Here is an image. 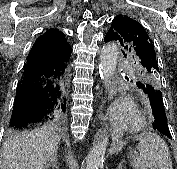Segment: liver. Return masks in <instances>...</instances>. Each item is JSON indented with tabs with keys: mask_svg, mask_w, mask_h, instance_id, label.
I'll use <instances>...</instances> for the list:
<instances>
[{
	"mask_svg": "<svg viewBox=\"0 0 177 169\" xmlns=\"http://www.w3.org/2000/svg\"><path fill=\"white\" fill-rule=\"evenodd\" d=\"M61 136L48 127L12 135L2 146L0 169H46Z\"/></svg>",
	"mask_w": 177,
	"mask_h": 169,
	"instance_id": "1",
	"label": "liver"
}]
</instances>
